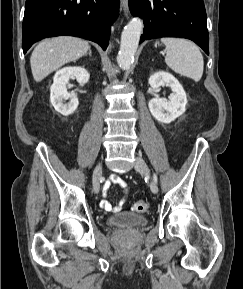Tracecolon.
Masks as SVG:
<instances>
[{
  "label": "colon",
  "instance_id": "obj_1",
  "mask_svg": "<svg viewBox=\"0 0 243 289\" xmlns=\"http://www.w3.org/2000/svg\"><path fill=\"white\" fill-rule=\"evenodd\" d=\"M134 209L136 212L138 213H144L148 210V203L145 202V201H137L135 204H134Z\"/></svg>",
  "mask_w": 243,
  "mask_h": 289
}]
</instances>
